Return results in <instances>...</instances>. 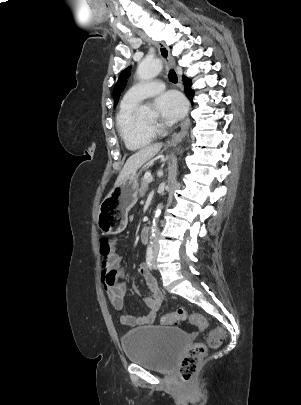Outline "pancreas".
Returning <instances> with one entry per match:
<instances>
[{"label": "pancreas", "mask_w": 301, "mask_h": 405, "mask_svg": "<svg viewBox=\"0 0 301 405\" xmlns=\"http://www.w3.org/2000/svg\"><path fill=\"white\" fill-rule=\"evenodd\" d=\"M148 185H149L148 179L143 178V179L141 180V187H140V190H139V195H140L141 197H143V196L145 195V193H146V191H147V189H148Z\"/></svg>", "instance_id": "obj_1"}]
</instances>
